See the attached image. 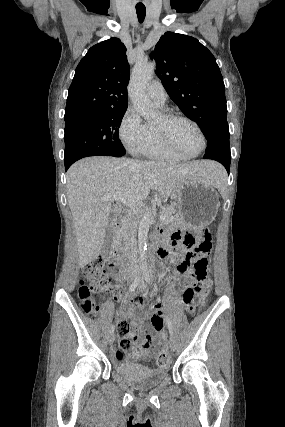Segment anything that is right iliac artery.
I'll list each match as a JSON object with an SVG mask.
<instances>
[{
	"instance_id": "82829eb1",
	"label": "right iliac artery",
	"mask_w": 285,
	"mask_h": 427,
	"mask_svg": "<svg viewBox=\"0 0 285 427\" xmlns=\"http://www.w3.org/2000/svg\"><path fill=\"white\" fill-rule=\"evenodd\" d=\"M138 283H139V279H136L132 284H131V286L129 287V292H133L134 290H135V288L137 287V285H138ZM114 330H115V327H114V325L113 326H111V328H110V333H113L114 332Z\"/></svg>"
}]
</instances>
